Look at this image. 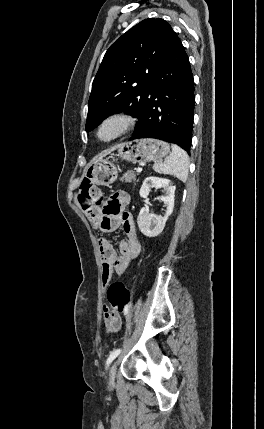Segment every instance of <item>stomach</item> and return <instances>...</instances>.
I'll list each match as a JSON object with an SVG mask.
<instances>
[{"label": "stomach", "instance_id": "obj_1", "mask_svg": "<svg viewBox=\"0 0 264 429\" xmlns=\"http://www.w3.org/2000/svg\"><path fill=\"white\" fill-rule=\"evenodd\" d=\"M169 152L168 143L158 139L145 138L120 144L116 156L133 163L150 162L161 160ZM114 160V154L106 159L93 160L86 168L85 177L98 185L113 183L118 175Z\"/></svg>", "mask_w": 264, "mask_h": 429}]
</instances>
